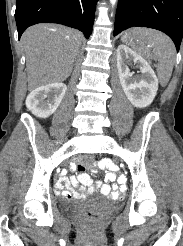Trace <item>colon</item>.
<instances>
[{
	"mask_svg": "<svg viewBox=\"0 0 183 246\" xmlns=\"http://www.w3.org/2000/svg\"><path fill=\"white\" fill-rule=\"evenodd\" d=\"M81 160H83V162H91L92 160H95V155H81ZM95 222V215L92 213H88L84 217V223L90 229L95 227Z\"/></svg>",
	"mask_w": 183,
	"mask_h": 246,
	"instance_id": "1",
	"label": "colon"
}]
</instances>
